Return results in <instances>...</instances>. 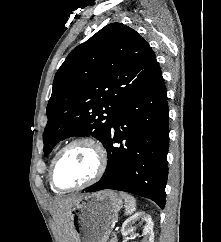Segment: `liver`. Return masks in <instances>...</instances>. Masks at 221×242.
<instances>
[{
  "instance_id": "obj_1",
  "label": "liver",
  "mask_w": 221,
  "mask_h": 242,
  "mask_svg": "<svg viewBox=\"0 0 221 242\" xmlns=\"http://www.w3.org/2000/svg\"><path fill=\"white\" fill-rule=\"evenodd\" d=\"M81 196L58 198L52 203V212L60 235V242H73L74 229L70 208Z\"/></svg>"
}]
</instances>
